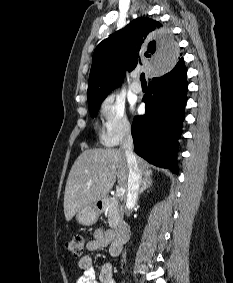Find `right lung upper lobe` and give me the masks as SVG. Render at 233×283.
Listing matches in <instances>:
<instances>
[{
	"label": "right lung upper lobe",
	"instance_id": "obj_1",
	"mask_svg": "<svg viewBox=\"0 0 233 283\" xmlns=\"http://www.w3.org/2000/svg\"><path fill=\"white\" fill-rule=\"evenodd\" d=\"M178 54H186V49H178L170 30L161 23L150 18L131 21L96 47L88 81V105L102 103L121 84L126 70H171Z\"/></svg>",
	"mask_w": 233,
	"mask_h": 283
}]
</instances>
